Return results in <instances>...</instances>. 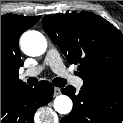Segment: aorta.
<instances>
[{
  "instance_id": "obj_1",
  "label": "aorta",
  "mask_w": 123,
  "mask_h": 123,
  "mask_svg": "<svg viewBox=\"0 0 123 123\" xmlns=\"http://www.w3.org/2000/svg\"><path fill=\"white\" fill-rule=\"evenodd\" d=\"M20 43L22 51L29 56H41L47 49L46 38L37 31H28L24 33ZM72 107V100L66 95H59L54 100V109L59 114H69Z\"/></svg>"
}]
</instances>
